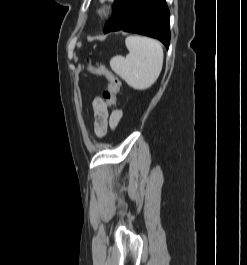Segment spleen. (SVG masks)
<instances>
[{"instance_id": "1", "label": "spleen", "mask_w": 247, "mask_h": 265, "mask_svg": "<svg viewBox=\"0 0 247 265\" xmlns=\"http://www.w3.org/2000/svg\"><path fill=\"white\" fill-rule=\"evenodd\" d=\"M125 44L129 54L113 57L110 60L112 70L135 90L150 88L163 66L161 43L148 37L128 36Z\"/></svg>"}]
</instances>
